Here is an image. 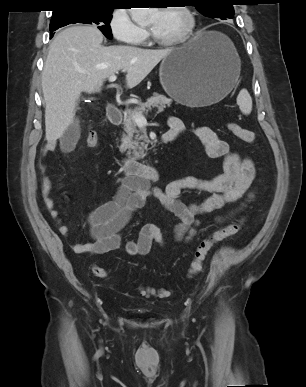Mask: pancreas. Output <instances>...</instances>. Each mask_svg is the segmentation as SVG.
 Wrapping results in <instances>:
<instances>
[{
  "instance_id": "obj_1",
  "label": "pancreas",
  "mask_w": 306,
  "mask_h": 387,
  "mask_svg": "<svg viewBox=\"0 0 306 387\" xmlns=\"http://www.w3.org/2000/svg\"><path fill=\"white\" fill-rule=\"evenodd\" d=\"M172 99L167 98L164 95L154 93L145 103H139L132 114L124 116V131L125 133L121 138V145L119 146L120 152L127 151V156L135 160L143 159L146 156L145 151L149 143V139L146 131L143 129H137V124L133 121V114H147L153 108L158 110L157 113L164 111V109L170 106Z\"/></svg>"
}]
</instances>
